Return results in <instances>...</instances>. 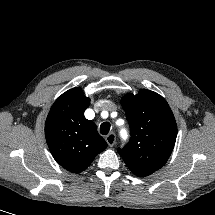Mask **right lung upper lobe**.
Listing matches in <instances>:
<instances>
[{"instance_id": "right-lung-upper-lobe-1", "label": "right lung upper lobe", "mask_w": 215, "mask_h": 215, "mask_svg": "<svg viewBox=\"0 0 215 215\" xmlns=\"http://www.w3.org/2000/svg\"><path fill=\"white\" fill-rule=\"evenodd\" d=\"M90 104L79 87L63 93L52 105L45 123V137L58 164L73 173L85 170L107 143L94 122L84 116Z\"/></svg>"}]
</instances>
